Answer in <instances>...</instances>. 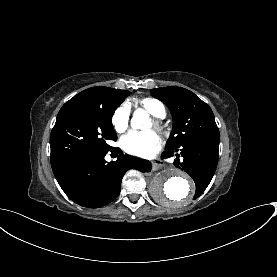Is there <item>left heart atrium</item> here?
Instances as JSON below:
<instances>
[{
	"label": "left heart atrium",
	"mask_w": 277,
	"mask_h": 277,
	"mask_svg": "<svg viewBox=\"0 0 277 277\" xmlns=\"http://www.w3.org/2000/svg\"><path fill=\"white\" fill-rule=\"evenodd\" d=\"M120 145L128 153L141 157H151L161 148L162 141L153 131L129 132L121 138Z\"/></svg>",
	"instance_id": "obj_1"
}]
</instances>
